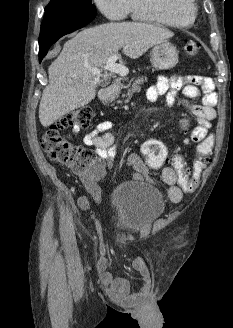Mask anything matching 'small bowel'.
I'll list each match as a JSON object with an SVG mask.
<instances>
[{
    "mask_svg": "<svg viewBox=\"0 0 233 328\" xmlns=\"http://www.w3.org/2000/svg\"><path fill=\"white\" fill-rule=\"evenodd\" d=\"M181 91V104L193 113L197 118V125L193 128L190 140L201 142L211 127V121L216 117L215 106L217 103V94L214 92V83L210 77L205 76H173L159 77L157 82L148 88L147 98L150 101H156L160 96H165L166 103L172 105ZM203 93L202 104H193L189 100L197 98ZM112 123L102 121L84 137V144L95 149L96 154L106 161L107 166L112 164L115 156L114 136L110 132ZM126 163L132 168V177L136 181L144 180L147 177V167L137 154H129ZM103 172L100 167L99 174ZM162 179L167 184V195L171 202H180L183 197V191L178 183V177L172 167L167 166L162 171ZM85 186L90 196H81L78 198V206L82 210L91 208L92 199L96 203L102 202V193L97 184L96 178H86ZM135 272L140 275V285L136 292L130 291L129 283L121 278H114L111 271L106 269L103 264L99 267L100 282L109 295V297L121 304H133L146 297L151 287V278L149 270L140 257L132 262Z\"/></svg>",
    "mask_w": 233,
    "mask_h": 328,
    "instance_id": "small-bowel-1",
    "label": "small bowel"
}]
</instances>
